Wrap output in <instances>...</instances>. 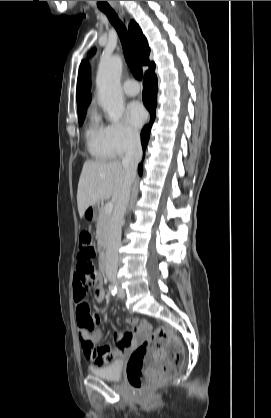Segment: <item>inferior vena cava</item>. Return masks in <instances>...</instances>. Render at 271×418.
<instances>
[{"instance_id":"obj_1","label":"inferior vena cava","mask_w":271,"mask_h":418,"mask_svg":"<svg viewBox=\"0 0 271 418\" xmlns=\"http://www.w3.org/2000/svg\"><path fill=\"white\" fill-rule=\"evenodd\" d=\"M142 158L140 135H131L126 155L122 159V165L126 169L124 188L115 204L111 218L110 232L106 249L105 271L110 282L116 283L118 269V250L121 244V233L124 215L129 203L131 185L136 176L137 166Z\"/></svg>"}]
</instances>
